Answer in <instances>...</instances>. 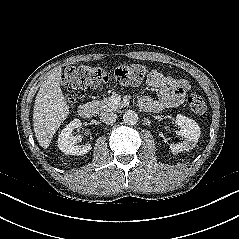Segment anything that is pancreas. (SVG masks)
Segmentation results:
<instances>
[{
    "label": "pancreas",
    "instance_id": "cf45deb5",
    "mask_svg": "<svg viewBox=\"0 0 239 239\" xmlns=\"http://www.w3.org/2000/svg\"><path fill=\"white\" fill-rule=\"evenodd\" d=\"M91 104L96 108L98 112H111L117 110L122 106L121 103H114L112 98H104L101 101H92Z\"/></svg>",
    "mask_w": 239,
    "mask_h": 239
}]
</instances>
